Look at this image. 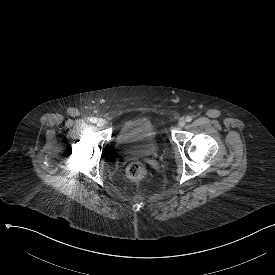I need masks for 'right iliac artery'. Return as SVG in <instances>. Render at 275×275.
<instances>
[{
    "label": "right iliac artery",
    "mask_w": 275,
    "mask_h": 275,
    "mask_svg": "<svg viewBox=\"0 0 275 275\" xmlns=\"http://www.w3.org/2000/svg\"><path fill=\"white\" fill-rule=\"evenodd\" d=\"M90 121H91L92 123H96V122H97V118H96V117H93V118L90 119Z\"/></svg>",
    "instance_id": "obj_1"
}]
</instances>
